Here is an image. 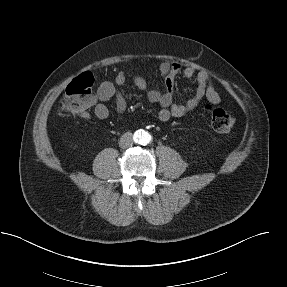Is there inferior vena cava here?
Segmentation results:
<instances>
[{"instance_id": "602c4592", "label": "inferior vena cava", "mask_w": 287, "mask_h": 287, "mask_svg": "<svg viewBox=\"0 0 287 287\" xmlns=\"http://www.w3.org/2000/svg\"><path fill=\"white\" fill-rule=\"evenodd\" d=\"M132 145H133L132 133L126 132L125 134L121 136L120 141H119V146L121 148H128Z\"/></svg>"}]
</instances>
